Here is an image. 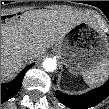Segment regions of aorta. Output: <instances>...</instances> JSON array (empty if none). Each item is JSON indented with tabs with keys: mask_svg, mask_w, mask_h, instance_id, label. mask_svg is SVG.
I'll list each match as a JSON object with an SVG mask.
<instances>
[{
	"mask_svg": "<svg viewBox=\"0 0 109 109\" xmlns=\"http://www.w3.org/2000/svg\"><path fill=\"white\" fill-rule=\"evenodd\" d=\"M56 61L52 58H47L43 61V68L46 70V71H49V72H52L56 69Z\"/></svg>",
	"mask_w": 109,
	"mask_h": 109,
	"instance_id": "obj_1",
	"label": "aorta"
}]
</instances>
